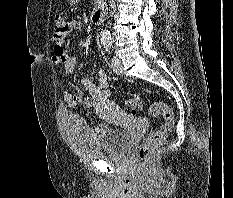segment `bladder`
I'll return each mask as SVG.
<instances>
[{
  "label": "bladder",
  "mask_w": 233,
  "mask_h": 198,
  "mask_svg": "<svg viewBox=\"0 0 233 198\" xmlns=\"http://www.w3.org/2000/svg\"><path fill=\"white\" fill-rule=\"evenodd\" d=\"M68 133L73 147L92 157L119 158L131 140L127 130L90 124L77 115H70Z\"/></svg>",
  "instance_id": "obj_1"
}]
</instances>
